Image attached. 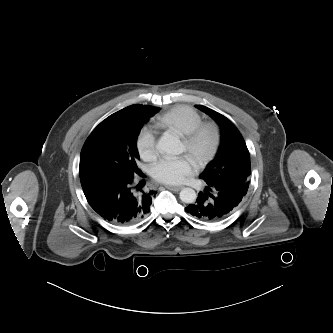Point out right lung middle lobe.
<instances>
[{
    "instance_id": "obj_1",
    "label": "right lung middle lobe",
    "mask_w": 333,
    "mask_h": 333,
    "mask_svg": "<svg viewBox=\"0 0 333 333\" xmlns=\"http://www.w3.org/2000/svg\"><path fill=\"white\" fill-rule=\"evenodd\" d=\"M160 108L135 104L106 118L86 140L80 155V177L107 174L131 178L141 174L137 136L144 123Z\"/></svg>"
}]
</instances>
